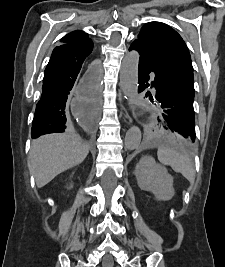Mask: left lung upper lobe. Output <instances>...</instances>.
Listing matches in <instances>:
<instances>
[{
	"label": "left lung upper lobe",
	"instance_id": "5c2ea615",
	"mask_svg": "<svg viewBox=\"0 0 225 267\" xmlns=\"http://www.w3.org/2000/svg\"><path fill=\"white\" fill-rule=\"evenodd\" d=\"M136 42L143 52L155 61L180 63L193 69L189 50L181 36L170 26L161 22H149L144 25ZM165 133L179 145L191 148L193 144L171 126L163 124Z\"/></svg>",
	"mask_w": 225,
	"mask_h": 267
}]
</instances>
